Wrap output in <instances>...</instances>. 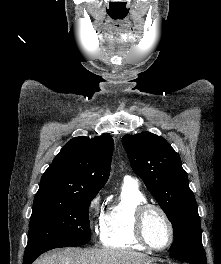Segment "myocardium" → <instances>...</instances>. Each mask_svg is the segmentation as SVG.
<instances>
[{
  "label": "myocardium",
  "instance_id": "obj_1",
  "mask_svg": "<svg viewBox=\"0 0 221 264\" xmlns=\"http://www.w3.org/2000/svg\"><path fill=\"white\" fill-rule=\"evenodd\" d=\"M151 210H155L159 212L164 218V220L166 221L168 228H169V240L162 247L153 246L148 241L146 234H145V219H146L147 214ZM133 231H134L135 238L143 247L149 250H152V251H157V252L168 249L173 244L174 238H175L174 225L169 215L167 214V212L159 205L148 203V202L143 203L136 208L134 212V218H133Z\"/></svg>",
  "mask_w": 221,
  "mask_h": 264
}]
</instances>
